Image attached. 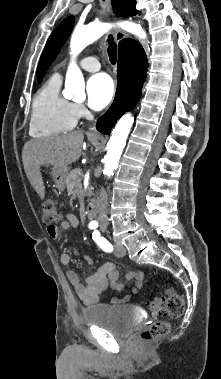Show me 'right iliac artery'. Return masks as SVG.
<instances>
[{
    "instance_id": "right-iliac-artery-1",
    "label": "right iliac artery",
    "mask_w": 221,
    "mask_h": 379,
    "mask_svg": "<svg viewBox=\"0 0 221 379\" xmlns=\"http://www.w3.org/2000/svg\"><path fill=\"white\" fill-rule=\"evenodd\" d=\"M97 227H98L97 224H94V223H90V224H89V228H90V229H96Z\"/></svg>"
}]
</instances>
